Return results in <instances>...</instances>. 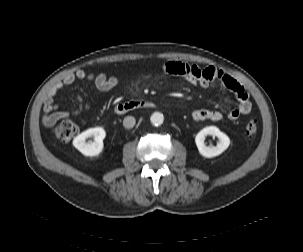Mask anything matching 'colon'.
Listing matches in <instances>:
<instances>
[{
  "label": "colon",
  "instance_id": "obj_1",
  "mask_svg": "<svg viewBox=\"0 0 303 252\" xmlns=\"http://www.w3.org/2000/svg\"><path fill=\"white\" fill-rule=\"evenodd\" d=\"M257 131L258 124L256 121H250L245 127V132L248 137L254 136ZM50 132L53 136L61 140H69L78 134L79 128L74 122L65 120L54 126Z\"/></svg>",
  "mask_w": 303,
  "mask_h": 252
}]
</instances>
